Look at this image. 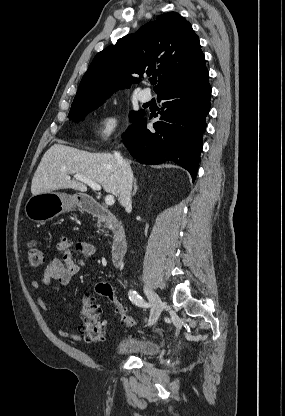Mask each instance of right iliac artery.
I'll use <instances>...</instances> for the list:
<instances>
[{
  "mask_svg": "<svg viewBox=\"0 0 285 416\" xmlns=\"http://www.w3.org/2000/svg\"><path fill=\"white\" fill-rule=\"evenodd\" d=\"M129 299L138 307H147V302L135 291H129Z\"/></svg>",
  "mask_w": 285,
  "mask_h": 416,
  "instance_id": "1",
  "label": "right iliac artery"
}]
</instances>
